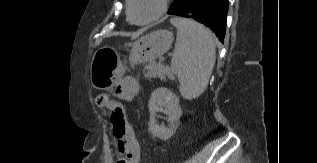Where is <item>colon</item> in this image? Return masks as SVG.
Here are the masks:
<instances>
[{
  "label": "colon",
  "mask_w": 317,
  "mask_h": 163,
  "mask_svg": "<svg viewBox=\"0 0 317 163\" xmlns=\"http://www.w3.org/2000/svg\"><path fill=\"white\" fill-rule=\"evenodd\" d=\"M95 103L99 108L109 110V118L113 130L122 133L126 127V116L123 107L118 103H112L109 96L104 93L97 94Z\"/></svg>",
  "instance_id": "5ec220e1"
}]
</instances>
